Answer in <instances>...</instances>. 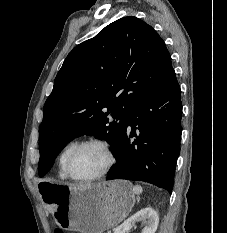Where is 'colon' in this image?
I'll list each match as a JSON object with an SVG mask.
<instances>
[{
    "label": "colon",
    "mask_w": 227,
    "mask_h": 233,
    "mask_svg": "<svg viewBox=\"0 0 227 233\" xmlns=\"http://www.w3.org/2000/svg\"><path fill=\"white\" fill-rule=\"evenodd\" d=\"M55 233H65V232L63 230H61V229H56Z\"/></svg>",
    "instance_id": "1"
}]
</instances>
